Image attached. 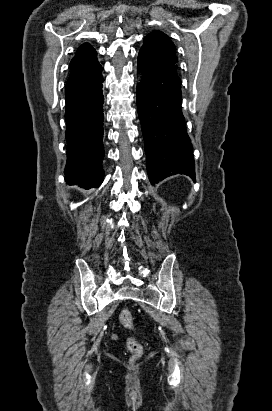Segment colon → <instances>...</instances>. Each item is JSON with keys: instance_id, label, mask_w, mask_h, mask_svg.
Segmentation results:
<instances>
[{"instance_id": "1", "label": "colon", "mask_w": 272, "mask_h": 411, "mask_svg": "<svg viewBox=\"0 0 272 411\" xmlns=\"http://www.w3.org/2000/svg\"><path fill=\"white\" fill-rule=\"evenodd\" d=\"M120 322L121 324L128 329L133 328V317L129 311H122L120 314ZM126 346L127 349L131 353V359L130 362L134 363L136 362L143 354V346L141 343H139L137 340H135L133 337H129L126 341Z\"/></svg>"}]
</instances>
